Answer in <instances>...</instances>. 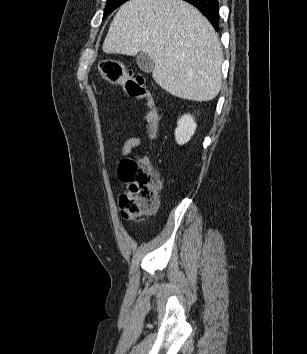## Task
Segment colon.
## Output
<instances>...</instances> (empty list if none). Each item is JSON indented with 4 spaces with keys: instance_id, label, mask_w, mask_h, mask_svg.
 I'll return each instance as SVG.
<instances>
[{
    "instance_id": "obj_1",
    "label": "colon",
    "mask_w": 307,
    "mask_h": 354,
    "mask_svg": "<svg viewBox=\"0 0 307 354\" xmlns=\"http://www.w3.org/2000/svg\"><path fill=\"white\" fill-rule=\"evenodd\" d=\"M98 71L105 81L122 84L130 96L147 101L150 107L149 135L155 138L159 113L146 87L145 78L111 57L100 61ZM119 176L128 185V189L119 198V208L124 219L135 220L156 210L161 188L160 172L147 157L123 160L119 166Z\"/></svg>"
}]
</instances>
